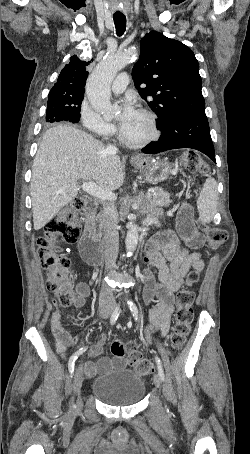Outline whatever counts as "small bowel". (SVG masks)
Instances as JSON below:
<instances>
[{"label":"small bowel","instance_id":"small-bowel-1","mask_svg":"<svg viewBox=\"0 0 250 454\" xmlns=\"http://www.w3.org/2000/svg\"><path fill=\"white\" fill-rule=\"evenodd\" d=\"M177 227L188 248L195 250L203 245L204 237L194 226L192 209L185 203L179 207ZM145 262L147 268L144 299L146 303L156 302L155 307L149 312V325L145 331L146 338L150 340L151 335L157 330L161 331L162 336L168 334L174 312V293L181 287L190 270L200 272L203 269V262L198 252H190L181 247L180 240L172 232L157 235L150 240L146 247ZM154 270L157 272L156 275ZM89 292L88 283H78L73 300L74 307H83ZM51 329L56 350L59 355L65 357L67 348L76 343L77 337L65 329L59 309L52 313ZM104 339L103 335L100 336L89 350L90 360L81 366L86 378L105 373L112 366V361L107 357H102L97 362L93 361L101 355ZM116 363L122 365L123 361L117 360Z\"/></svg>","mask_w":250,"mask_h":454}]
</instances>
